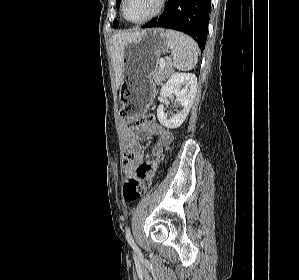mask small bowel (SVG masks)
Masks as SVG:
<instances>
[{
	"instance_id": "c3829d8e",
	"label": "small bowel",
	"mask_w": 299,
	"mask_h": 280,
	"mask_svg": "<svg viewBox=\"0 0 299 280\" xmlns=\"http://www.w3.org/2000/svg\"><path fill=\"white\" fill-rule=\"evenodd\" d=\"M135 126L136 125L128 126L125 131L126 137L128 139H133L129 144L132 152L131 157L125 161L123 168L126 175V181L135 178L138 166L145 162L142 147L139 143L140 140L148 136L158 137V140L153 144L151 149L152 156L155 159L160 158L163 155L166 146L172 141V134L169 130L155 120L146 126H142V128H144V133H135Z\"/></svg>"
}]
</instances>
